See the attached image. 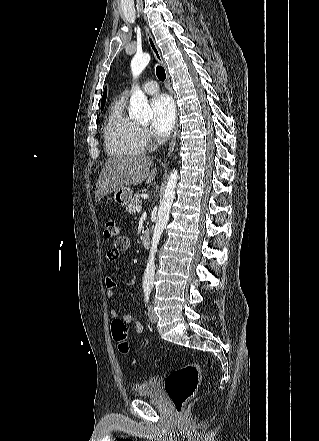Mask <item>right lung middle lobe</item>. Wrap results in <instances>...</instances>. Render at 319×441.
<instances>
[{
	"label": "right lung middle lobe",
	"mask_w": 319,
	"mask_h": 441,
	"mask_svg": "<svg viewBox=\"0 0 319 441\" xmlns=\"http://www.w3.org/2000/svg\"><path fill=\"white\" fill-rule=\"evenodd\" d=\"M103 108H104V105L101 106V110H103Z\"/></svg>",
	"instance_id": "obj_1"
}]
</instances>
